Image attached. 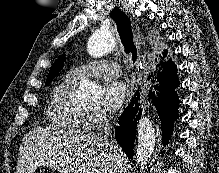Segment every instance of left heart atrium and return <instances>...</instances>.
<instances>
[{"label":"left heart atrium","mask_w":219,"mask_h":173,"mask_svg":"<svg viewBox=\"0 0 219 173\" xmlns=\"http://www.w3.org/2000/svg\"><path fill=\"white\" fill-rule=\"evenodd\" d=\"M129 96V90L126 83L120 80L108 82L104 87L103 105L110 111L121 108Z\"/></svg>","instance_id":"1"}]
</instances>
